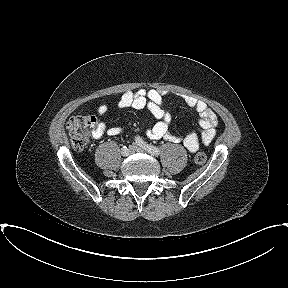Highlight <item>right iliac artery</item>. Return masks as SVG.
<instances>
[{
  "label": "right iliac artery",
  "instance_id": "right-iliac-artery-1",
  "mask_svg": "<svg viewBox=\"0 0 288 288\" xmlns=\"http://www.w3.org/2000/svg\"><path fill=\"white\" fill-rule=\"evenodd\" d=\"M129 153V150L127 149L126 146H124L122 149H121V155L122 156H127Z\"/></svg>",
  "mask_w": 288,
  "mask_h": 288
}]
</instances>
